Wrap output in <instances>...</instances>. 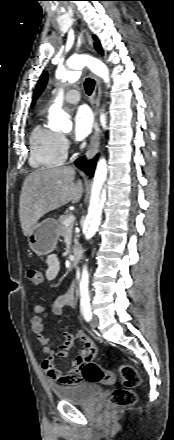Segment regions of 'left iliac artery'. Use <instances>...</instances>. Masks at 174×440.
<instances>
[{
  "mask_svg": "<svg viewBox=\"0 0 174 440\" xmlns=\"http://www.w3.org/2000/svg\"><path fill=\"white\" fill-rule=\"evenodd\" d=\"M81 311L86 321H90L92 318L90 297L88 292H81L80 294Z\"/></svg>",
  "mask_w": 174,
  "mask_h": 440,
  "instance_id": "1",
  "label": "left iliac artery"
}]
</instances>
